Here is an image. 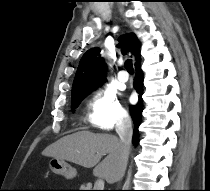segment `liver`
I'll list each match as a JSON object with an SVG mask.
<instances>
[{
    "label": "liver",
    "instance_id": "liver-1",
    "mask_svg": "<svg viewBox=\"0 0 210 191\" xmlns=\"http://www.w3.org/2000/svg\"><path fill=\"white\" fill-rule=\"evenodd\" d=\"M42 154L85 168L94 167V175L103 177L108 183L118 181L121 147L120 140L114 135L78 131L51 144Z\"/></svg>",
    "mask_w": 210,
    "mask_h": 191
}]
</instances>
